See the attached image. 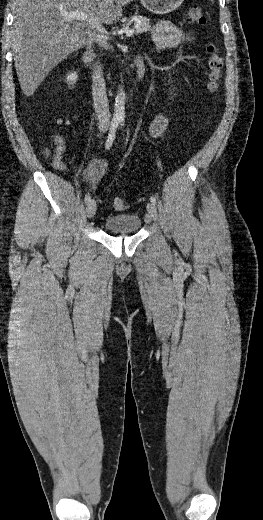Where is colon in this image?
Segmentation results:
<instances>
[{
  "label": "colon",
  "mask_w": 263,
  "mask_h": 520,
  "mask_svg": "<svg viewBox=\"0 0 263 520\" xmlns=\"http://www.w3.org/2000/svg\"><path fill=\"white\" fill-rule=\"evenodd\" d=\"M187 22L198 26H204L207 23L206 16L200 6L192 5L189 8L187 12ZM206 51L208 53L207 68L209 71V89L215 92L219 87V82L222 77L223 58L215 43L209 42L206 46ZM112 204L117 211L123 210L126 206L124 199L121 197L114 198Z\"/></svg>",
  "instance_id": "colon-1"
}]
</instances>
